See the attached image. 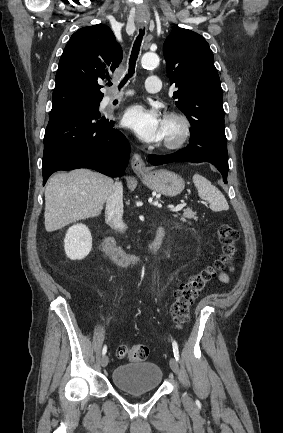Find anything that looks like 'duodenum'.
Returning a JSON list of instances; mask_svg holds the SVG:
<instances>
[{"mask_svg":"<svg viewBox=\"0 0 283 433\" xmlns=\"http://www.w3.org/2000/svg\"><path fill=\"white\" fill-rule=\"evenodd\" d=\"M165 230L162 226L158 227L153 242L147 251L142 254H131L121 248L113 237H107L103 244L104 252L117 264L123 266L136 265L141 263L147 257L155 255L162 246Z\"/></svg>","mask_w":283,"mask_h":433,"instance_id":"obj_1","label":"duodenum"}]
</instances>
